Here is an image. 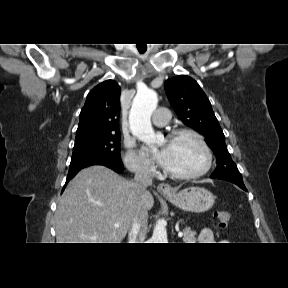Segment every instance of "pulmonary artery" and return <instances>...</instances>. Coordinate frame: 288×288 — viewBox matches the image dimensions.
<instances>
[{
	"instance_id": "obj_1",
	"label": "pulmonary artery",
	"mask_w": 288,
	"mask_h": 288,
	"mask_svg": "<svg viewBox=\"0 0 288 288\" xmlns=\"http://www.w3.org/2000/svg\"><path fill=\"white\" fill-rule=\"evenodd\" d=\"M170 116V112L166 108L160 107L155 112L153 124L157 127L164 126L169 122Z\"/></svg>"
}]
</instances>
